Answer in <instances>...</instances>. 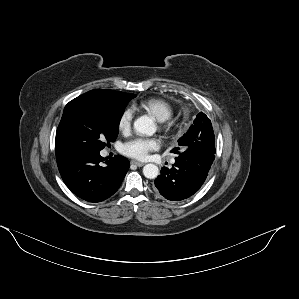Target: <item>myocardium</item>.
Wrapping results in <instances>:
<instances>
[{
	"label": "myocardium",
	"instance_id": "1",
	"mask_svg": "<svg viewBox=\"0 0 299 299\" xmlns=\"http://www.w3.org/2000/svg\"><path fill=\"white\" fill-rule=\"evenodd\" d=\"M162 123H163L162 125L163 130L167 133L170 132L172 129V123L170 121H164Z\"/></svg>",
	"mask_w": 299,
	"mask_h": 299
}]
</instances>
